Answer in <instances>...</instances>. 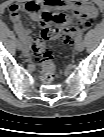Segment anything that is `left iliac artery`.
Wrapping results in <instances>:
<instances>
[{"instance_id":"44dca946","label":"left iliac artery","mask_w":104,"mask_h":137,"mask_svg":"<svg viewBox=\"0 0 104 137\" xmlns=\"http://www.w3.org/2000/svg\"><path fill=\"white\" fill-rule=\"evenodd\" d=\"M83 39V35L81 34L78 38L79 41H81Z\"/></svg>"}]
</instances>
